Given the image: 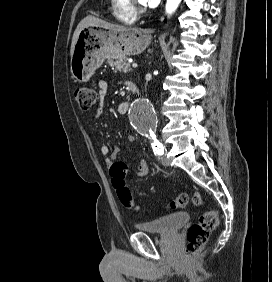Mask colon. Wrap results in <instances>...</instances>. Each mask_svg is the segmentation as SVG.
<instances>
[{
  "label": "colon",
  "mask_w": 272,
  "mask_h": 282,
  "mask_svg": "<svg viewBox=\"0 0 272 282\" xmlns=\"http://www.w3.org/2000/svg\"><path fill=\"white\" fill-rule=\"evenodd\" d=\"M75 99L82 110H90L98 101L96 91L89 87H78L75 90ZM124 171L122 164L117 163L112 167V172L116 177L115 187L118 198L121 204L128 210L138 212L140 210L139 204L133 199L128 187L121 180V173ZM197 206L203 207L204 211L199 216L196 223L192 224L187 233V245L185 248V260H193L203 246L207 242L211 232L218 225L217 211L206 205L199 194L193 198ZM188 203L187 194H179L170 203V208L173 210H180L186 207Z\"/></svg>",
  "instance_id": "5ec220e1"
}]
</instances>
